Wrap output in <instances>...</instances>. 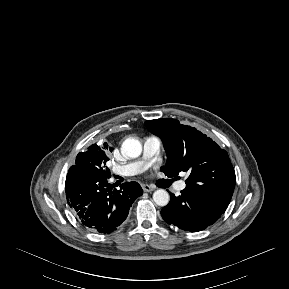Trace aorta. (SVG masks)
Listing matches in <instances>:
<instances>
[{
  "instance_id": "aorta-1",
  "label": "aorta",
  "mask_w": 289,
  "mask_h": 289,
  "mask_svg": "<svg viewBox=\"0 0 289 289\" xmlns=\"http://www.w3.org/2000/svg\"><path fill=\"white\" fill-rule=\"evenodd\" d=\"M122 152L129 158H136L142 152L141 143L133 138H127L122 143ZM153 200L158 206H166L169 203V194L166 190L159 189L153 193Z\"/></svg>"
}]
</instances>
